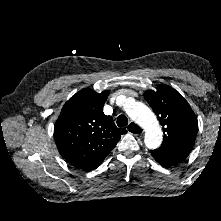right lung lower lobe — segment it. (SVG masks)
Wrapping results in <instances>:
<instances>
[{"instance_id":"98d812e1","label":"right lung lower lobe","mask_w":221,"mask_h":221,"mask_svg":"<svg viewBox=\"0 0 221 221\" xmlns=\"http://www.w3.org/2000/svg\"><path fill=\"white\" fill-rule=\"evenodd\" d=\"M97 167H98V166H97ZM97 167H94V168L88 169V170H86V171H90V170H93V169H95V168H97Z\"/></svg>"}]
</instances>
